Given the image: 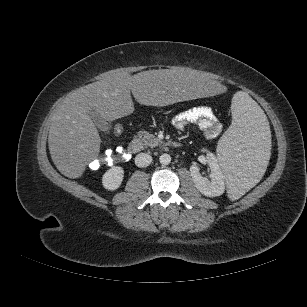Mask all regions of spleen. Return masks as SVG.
I'll return each instance as SVG.
<instances>
[{"label":"spleen","instance_id":"1","mask_svg":"<svg viewBox=\"0 0 307 307\" xmlns=\"http://www.w3.org/2000/svg\"><path fill=\"white\" fill-rule=\"evenodd\" d=\"M231 110L232 124L219 140L217 153L228 180V197L234 201L256 183L264 169L270 130L264 111L247 93H235Z\"/></svg>","mask_w":307,"mask_h":307}]
</instances>
